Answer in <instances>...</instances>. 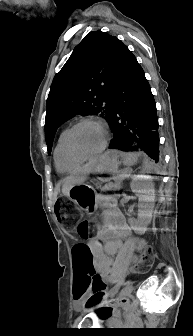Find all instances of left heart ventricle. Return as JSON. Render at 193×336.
I'll return each instance as SVG.
<instances>
[{
	"mask_svg": "<svg viewBox=\"0 0 193 336\" xmlns=\"http://www.w3.org/2000/svg\"><path fill=\"white\" fill-rule=\"evenodd\" d=\"M104 141V132L100 126L93 123L81 125L73 134L75 148L83 153L97 151Z\"/></svg>",
	"mask_w": 193,
	"mask_h": 336,
	"instance_id": "b2bd125f",
	"label": "left heart ventricle"
}]
</instances>
